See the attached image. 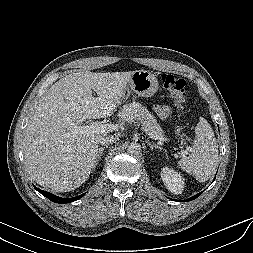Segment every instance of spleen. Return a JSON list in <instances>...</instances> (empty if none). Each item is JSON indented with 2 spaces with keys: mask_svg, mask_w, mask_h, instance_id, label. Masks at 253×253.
I'll use <instances>...</instances> for the list:
<instances>
[{
  "mask_svg": "<svg viewBox=\"0 0 253 253\" xmlns=\"http://www.w3.org/2000/svg\"><path fill=\"white\" fill-rule=\"evenodd\" d=\"M195 134L191 154L182 157L178 166L199 182H205L218 164V145L210 124L202 117L195 127Z\"/></svg>",
  "mask_w": 253,
  "mask_h": 253,
  "instance_id": "obj_1",
  "label": "spleen"
}]
</instances>
